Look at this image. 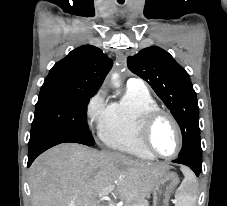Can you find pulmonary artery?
Returning <instances> with one entry per match:
<instances>
[{
  "label": "pulmonary artery",
  "instance_id": "obj_1",
  "mask_svg": "<svg viewBox=\"0 0 227 206\" xmlns=\"http://www.w3.org/2000/svg\"><path fill=\"white\" fill-rule=\"evenodd\" d=\"M127 88L135 90H147L144 81L140 78L131 77L127 80Z\"/></svg>",
  "mask_w": 227,
  "mask_h": 206
}]
</instances>
